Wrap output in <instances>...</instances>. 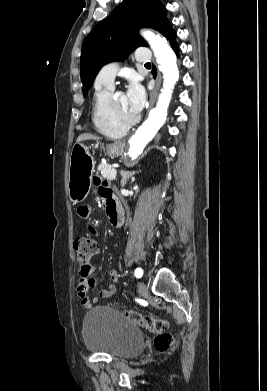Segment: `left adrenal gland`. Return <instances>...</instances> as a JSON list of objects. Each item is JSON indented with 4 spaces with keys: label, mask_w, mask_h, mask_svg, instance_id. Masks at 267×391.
<instances>
[{
    "label": "left adrenal gland",
    "mask_w": 267,
    "mask_h": 391,
    "mask_svg": "<svg viewBox=\"0 0 267 391\" xmlns=\"http://www.w3.org/2000/svg\"><path fill=\"white\" fill-rule=\"evenodd\" d=\"M120 174L122 176L121 186L124 187L126 185V183H127V180L129 178H131L135 174V172L134 171H124V170H122L120 172Z\"/></svg>",
    "instance_id": "obj_1"
}]
</instances>
